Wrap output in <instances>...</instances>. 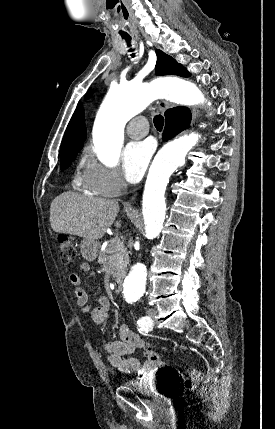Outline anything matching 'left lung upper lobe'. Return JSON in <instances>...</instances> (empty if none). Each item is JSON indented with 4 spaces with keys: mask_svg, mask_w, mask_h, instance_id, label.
Instances as JSON below:
<instances>
[{
    "mask_svg": "<svg viewBox=\"0 0 275 429\" xmlns=\"http://www.w3.org/2000/svg\"><path fill=\"white\" fill-rule=\"evenodd\" d=\"M157 63L155 67L156 75H178L182 77L190 76L189 72L171 56L163 53L161 50H156Z\"/></svg>",
    "mask_w": 275,
    "mask_h": 429,
    "instance_id": "5c2ea615",
    "label": "left lung upper lobe"
}]
</instances>
